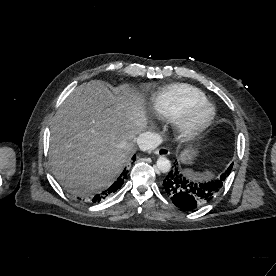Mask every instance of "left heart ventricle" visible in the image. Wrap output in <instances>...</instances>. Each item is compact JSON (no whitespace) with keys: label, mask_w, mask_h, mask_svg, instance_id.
Instances as JSON below:
<instances>
[{"label":"left heart ventricle","mask_w":276,"mask_h":276,"mask_svg":"<svg viewBox=\"0 0 276 276\" xmlns=\"http://www.w3.org/2000/svg\"><path fill=\"white\" fill-rule=\"evenodd\" d=\"M209 113L210 110L208 108L199 109L197 112L194 113V120L196 122H201L208 117Z\"/></svg>","instance_id":"left-heart-ventricle-1"}]
</instances>
